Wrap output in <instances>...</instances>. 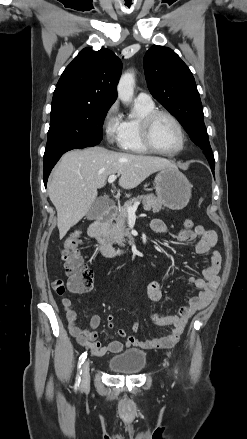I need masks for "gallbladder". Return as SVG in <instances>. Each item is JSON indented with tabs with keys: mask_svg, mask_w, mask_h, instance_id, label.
<instances>
[{
	"mask_svg": "<svg viewBox=\"0 0 247 439\" xmlns=\"http://www.w3.org/2000/svg\"><path fill=\"white\" fill-rule=\"evenodd\" d=\"M106 199L104 197H99L95 200L90 210L88 211L86 217L89 220L98 218L107 208Z\"/></svg>",
	"mask_w": 247,
	"mask_h": 439,
	"instance_id": "bac80fb5",
	"label": "gallbladder"
}]
</instances>
